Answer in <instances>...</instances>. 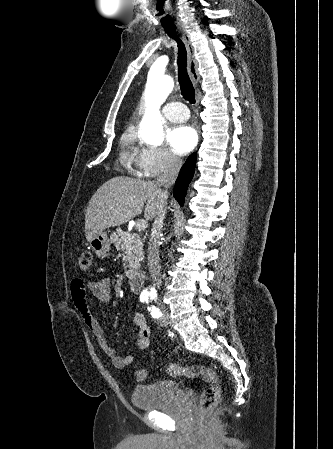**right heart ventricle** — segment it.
Returning <instances> with one entry per match:
<instances>
[{"label": "right heart ventricle", "mask_w": 333, "mask_h": 449, "mask_svg": "<svg viewBox=\"0 0 333 449\" xmlns=\"http://www.w3.org/2000/svg\"><path fill=\"white\" fill-rule=\"evenodd\" d=\"M132 137L130 134L126 133L121 139V146L123 149V156L126 159H132L133 153L131 151Z\"/></svg>", "instance_id": "obj_1"}]
</instances>
